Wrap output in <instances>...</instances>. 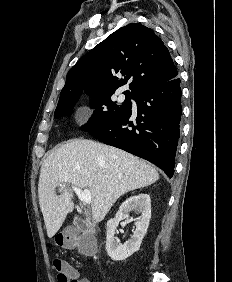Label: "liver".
I'll return each mask as SVG.
<instances>
[{
  "instance_id": "6515ba94",
  "label": "liver",
  "mask_w": 232,
  "mask_h": 282,
  "mask_svg": "<svg viewBox=\"0 0 232 282\" xmlns=\"http://www.w3.org/2000/svg\"><path fill=\"white\" fill-rule=\"evenodd\" d=\"M158 179L150 164L123 150L87 139L68 141L48 155L40 170L38 197L48 237L74 208L70 185L90 190L92 215L101 221L120 196Z\"/></svg>"
}]
</instances>
